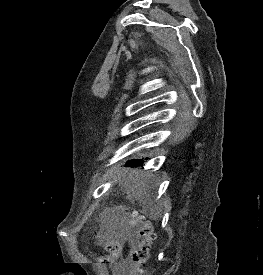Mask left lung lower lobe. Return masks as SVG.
I'll return each instance as SVG.
<instances>
[{"instance_id":"left-lung-lower-lobe-1","label":"left lung lower lobe","mask_w":263,"mask_h":275,"mask_svg":"<svg viewBox=\"0 0 263 275\" xmlns=\"http://www.w3.org/2000/svg\"><path fill=\"white\" fill-rule=\"evenodd\" d=\"M143 163H144V160H142V159H133V160L127 161L126 165L131 166V167L132 166H141Z\"/></svg>"}]
</instances>
